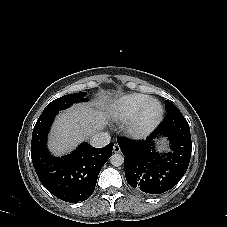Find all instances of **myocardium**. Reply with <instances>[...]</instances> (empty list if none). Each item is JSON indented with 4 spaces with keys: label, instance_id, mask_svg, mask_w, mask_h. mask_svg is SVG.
<instances>
[{
    "label": "myocardium",
    "instance_id": "f54148a6",
    "mask_svg": "<svg viewBox=\"0 0 227 227\" xmlns=\"http://www.w3.org/2000/svg\"><path fill=\"white\" fill-rule=\"evenodd\" d=\"M157 103L160 107L159 113L154 118L148 119L145 114L150 104ZM164 115V108L161 102L156 99H149L139 112L126 124L127 134L135 139H142L149 136L161 123Z\"/></svg>",
    "mask_w": 227,
    "mask_h": 227
}]
</instances>
